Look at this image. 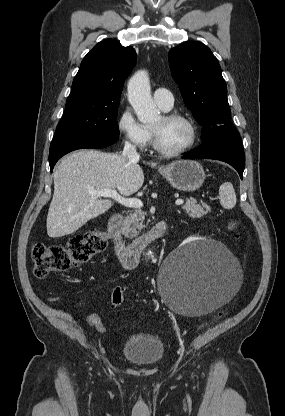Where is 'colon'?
I'll return each mask as SVG.
<instances>
[{
    "mask_svg": "<svg viewBox=\"0 0 285 416\" xmlns=\"http://www.w3.org/2000/svg\"><path fill=\"white\" fill-rule=\"evenodd\" d=\"M108 240L105 232L90 228L64 245L35 243L31 248L33 273L38 278H44L50 273L65 272L71 267L85 264L106 248ZM123 302V291L117 287L111 296L112 307L119 309Z\"/></svg>",
    "mask_w": 285,
    "mask_h": 416,
    "instance_id": "obj_1",
    "label": "colon"
}]
</instances>
